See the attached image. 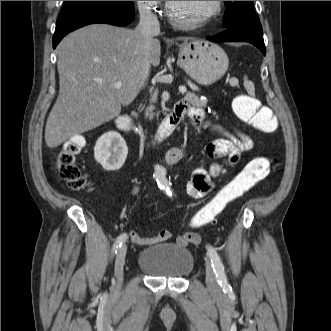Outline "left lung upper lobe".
I'll use <instances>...</instances> for the list:
<instances>
[{
  "label": "left lung upper lobe",
  "mask_w": 331,
  "mask_h": 331,
  "mask_svg": "<svg viewBox=\"0 0 331 331\" xmlns=\"http://www.w3.org/2000/svg\"><path fill=\"white\" fill-rule=\"evenodd\" d=\"M226 13L223 18V26L230 28L238 25L258 22L255 14L254 1H224Z\"/></svg>",
  "instance_id": "1"
}]
</instances>
